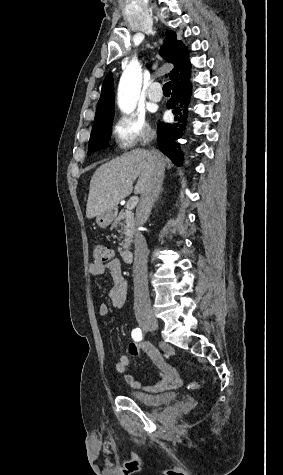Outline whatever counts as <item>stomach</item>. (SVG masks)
<instances>
[{"label": "stomach", "instance_id": "0dacf381", "mask_svg": "<svg viewBox=\"0 0 283 475\" xmlns=\"http://www.w3.org/2000/svg\"><path fill=\"white\" fill-rule=\"evenodd\" d=\"M116 216V208L115 210H106V212H102V214H98V216H96V224H98L99 228H107L109 224H112Z\"/></svg>", "mask_w": 283, "mask_h": 475}]
</instances>
